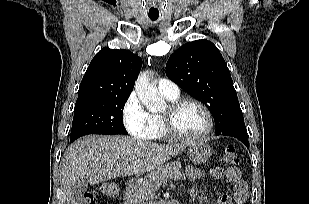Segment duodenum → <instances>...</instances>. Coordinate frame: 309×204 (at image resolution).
Segmentation results:
<instances>
[{"instance_id": "duodenum-1", "label": "duodenum", "mask_w": 309, "mask_h": 204, "mask_svg": "<svg viewBox=\"0 0 309 204\" xmlns=\"http://www.w3.org/2000/svg\"><path fill=\"white\" fill-rule=\"evenodd\" d=\"M137 185H138V181L136 179H130L127 182L126 189L124 192L123 204H132Z\"/></svg>"}]
</instances>
